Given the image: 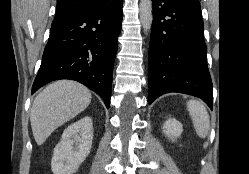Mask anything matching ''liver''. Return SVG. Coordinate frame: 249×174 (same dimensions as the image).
I'll use <instances>...</instances> for the list:
<instances>
[{
    "label": "liver",
    "mask_w": 249,
    "mask_h": 174,
    "mask_svg": "<svg viewBox=\"0 0 249 174\" xmlns=\"http://www.w3.org/2000/svg\"><path fill=\"white\" fill-rule=\"evenodd\" d=\"M91 93L84 85L60 80L48 85L34 99L30 121L34 139L42 145L51 133L88 107Z\"/></svg>",
    "instance_id": "liver-1"
}]
</instances>
